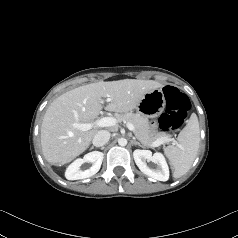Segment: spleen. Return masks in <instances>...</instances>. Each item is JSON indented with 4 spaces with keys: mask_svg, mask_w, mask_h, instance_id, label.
<instances>
[{
    "mask_svg": "<svg viewBox=\"0 0 238 238\" xmlns=\"http://www.w3.org/2000/svg\"><path fill=\"white\" fill-rule=\"evenodd\" d=\"M177 145H169L164 149L166 157L173 169V176L179 178L189 171L199 149L200 129L198 118L193 113L177 138Z\"/></svg>",
    "mask_w": 238,
    "mask_h": 238,
    "instance_id": "1",
    "label": "spleen"
}]
</instances>
